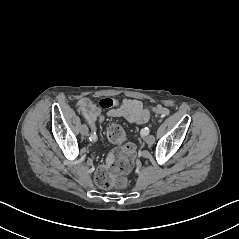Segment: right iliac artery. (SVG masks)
Instances as JSON below:
<instances>
[{
	"mask_svg": "<svg viewBox=\"0 0 239 239\" xmlns=\"http://www.w3.org/2000/svg\"><path fill=\"white\" fill-rule=\"evenodd\" d=\"M90 140L91 141H96L97 140V135H96V133L94 132V133H91V135H90Z\"/></svg>",
	"mask_w": 239,
	"mask_h": 239,
	"instance_id": "right-iliac-artery-1",
	"label": "right iliac artery"
}]
</instances>
